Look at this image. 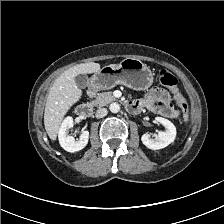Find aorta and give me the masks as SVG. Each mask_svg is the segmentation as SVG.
<instances>
[{
	"label": "aorta",
	"instance_id": "aorta-1",
	"mask_svg": "<svg viewBox=\"0 0 224 224\" xmlns=\"http://www.w3.org/2000/svg\"><path fill=\"white\" fill-rule=\"evenodd\" d=\"M109 109L112 113H118L120 110V105L118 103H112L110 104Z\"/></svg>",
	"mask_w": 224,
	"mask_h": 224
}]
</instances>
